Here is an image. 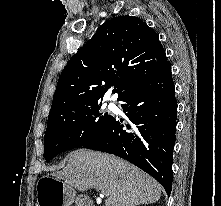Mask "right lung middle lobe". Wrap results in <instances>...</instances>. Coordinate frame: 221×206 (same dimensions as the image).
<instances>
[{"label":"right lung middle lobe","mask_w":221,"mask_h":206,"mask_svg":"<svg viewBox=\"0 0 221 206\" xmlns=\"http://www.w3.org/2000/svg\"><path fill=\"white\" fill-rule=\"evenodd\" d=\"M99 103L59 110L48 116L44 158L50 161L59 153L83 146L113 119L100 112Z\"/></svg>","instance_id":"1"}]
</instances>
